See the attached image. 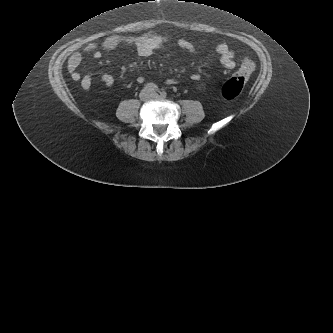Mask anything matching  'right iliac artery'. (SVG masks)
I'll list each match as a JSON object with an SVG mask.
<instances>
[{"instance_id": "1", "label": "right iliac artery", "mask_w": 333, "mask_h": 333, "mask_svg": "<svg viewBox=\"0 0 333 333\" xmlns=\"http://www.w3.org/2000/svg\"><path fill=\"white\" fill-rule=\"evenodd\" d=\"M145 90L151 91V92H155L158 91V87L153 84V83H149L144 87Z\"/></svg>"}]
</instances>
